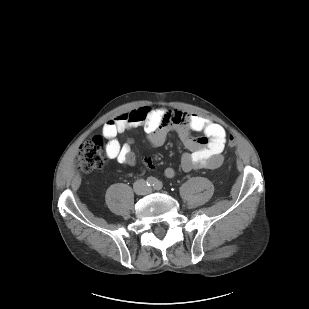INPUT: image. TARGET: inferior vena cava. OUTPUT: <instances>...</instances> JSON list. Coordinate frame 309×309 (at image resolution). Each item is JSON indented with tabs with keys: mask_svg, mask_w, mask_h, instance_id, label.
I'll return each mask as SVG.
<instances>
[{
	"mask_svg": "<svg viewBox=\"0 0 309 309\" xmlns=\"http://www.w3.org/2000/svg\"><path fill=\"white\" fill-rule=\"evenodd\" d=\"M134 190L136 193L141 194V195H145L147 193H149L150 188L147 186V183L145 180L143 179H139L137 181H135L134 183Z\"/></svg>",
	"mask_w": 309,
	"mask_h": 309,
	"instance_id": "inferior-vena-cava-1",
	"label": "inferior vena cava"
}]
</instances>
